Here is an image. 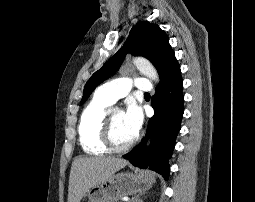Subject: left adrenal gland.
<instances>
[{
    "label": "left adrenal gland",
    "instance_id": "a2214340",
    "mask_svg": "<svg viewBox=\"0 0 255 202\" xmlns=\"http://www.w3.org/2000/svg\"><path fill=\"white\" fill-rule=\"evenodd\" d=\"M131 202H143V201L140 199V196H136L132 198Z\"/></svg>",
    "mask_w": 255,
    "mask_h": 202
}]
</instances>
